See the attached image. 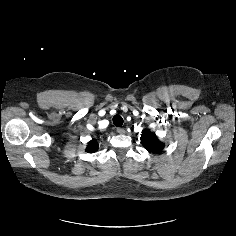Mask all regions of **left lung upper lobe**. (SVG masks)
Wrapping results in <instances>:
<instances>
[{
    "label": "left lung upper lobe",
    "mask_w": 236,
    "mask_h": 236,
    "mask_svg": "<svg viewBox=\"0 0 236 236\" xmlns=\"http://www.w3.org/2000/svg\"><path fill=\"white\" fill-rule=\"evenodd\" d=\"M143 146L152 153H159L163 150L164 144L149 130H145L141 135Z\"/></svg>",
    "instance_id": "5c2ea615"
}]
</instances>
